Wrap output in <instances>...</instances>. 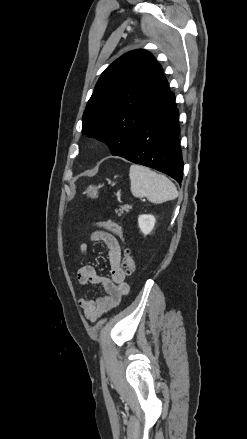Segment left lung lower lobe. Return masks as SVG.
Instances as JSON below:
<instances>
[{"instance_id": "left-lung-lower-lobe-1", "label": "left lung lower lobe", "mask_w": 247, "mask_h": 439, "mask_svg": "<svg viewBox=\"0 0 247 439\" xmlns=\"http://www.w3.org/2000/svg\"><path fill=\"white\" fill-rule=\"evenodd\" d=\"M175 96L166 99L143 121L129 150L121 157L168 174L181 183L183 162Z\"/></svg>"}]
</instances>
